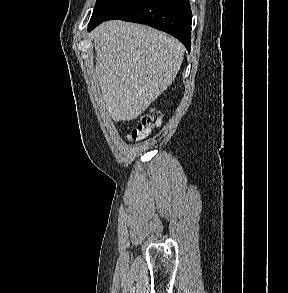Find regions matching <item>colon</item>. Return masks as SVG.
<instances>
[{
  "label": "colon",
  "mask_w": 288,
  "mask_h": 293,
  "mask_svg": "<svg viewBox=\"0 0 288 293\" xmlns=\"http://www.w3.org/2000/svg\"><path fill=\"white\" fill-rule=\"evenodd\" d=\"M161 117L157 112H147L141 115L137 121L136 126L132 129L128 135V139L133 141H139L148 136L154 128L159 126Z\"/></svg>",
  "instance_id": "1"
}]
</instances>
